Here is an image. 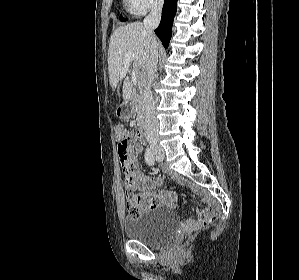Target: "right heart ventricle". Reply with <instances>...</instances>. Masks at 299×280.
<instances>
[{
	"mask_svg": "<svg viewBox=\"0 0 299 280\" xmlns=\"http://www.w3.org/2000/svg\"><path fill=\"white\" fill-rule=\"evenodd\" d=\"M126 1V3H128L129 4V1L128 0H125ZM130 5V4H129Z\"/></svg>",
	"mask_w": 299,
	"mask_h": 280,
	"instance_id": "obj_1",
	"label": "right heart ventricle"
}]
</instances>
